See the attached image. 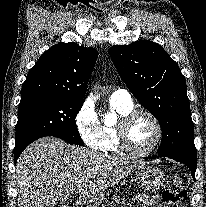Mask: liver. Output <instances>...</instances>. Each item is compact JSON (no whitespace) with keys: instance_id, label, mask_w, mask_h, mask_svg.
<instances>
[{"instance_id":"1","label":"liver","mask_w":206,"mask_h":207,"mask_svg":"<svg viewBox=\"0 0 206 207\" xmlns=\"http://www.w3.org/2000/svg\"><path fill=\"white\" fill-rule=\"evenodd\" d=\"M143 162L109 156L43 137L20 155L14 175L19 207H54L75 193L92 207L103 192L127 177Z\"/></svg>"}]
</instances>
